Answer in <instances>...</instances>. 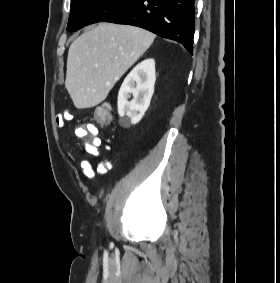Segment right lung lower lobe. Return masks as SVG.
<instances>
[{"label": "right lung lower lobe", "instance_id": "obj_1", "mask_svg": "<svg viewBox=\"0 0 280 283\" xmlns=\"http://www.w3.org/2000/svg\"><path fill=\"white\" fill-rule=\"evenodd\" d=\"M195 0H132L104 22L147 29L163 38L180 42L193 52Z\"/></svg>", "mask_w": 280, "mask_h": 283}]
</instances>
